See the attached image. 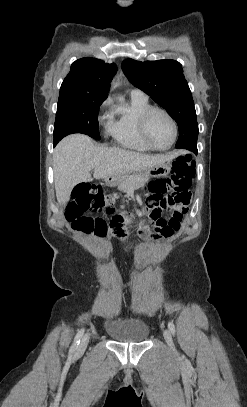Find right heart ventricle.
I'll return each mask as SVG.
<instances>
[{
  "mask_svg": "<svg viewBox=\"0 0 247 407\" xmlns=\"http://www.w3.org/2000/svg\"><path fill=\"white\" fill-rule=\"evenodd\" d=\"M150 107L147 98L131 97L128 104L111 110L107 133L118 146L136 152L151 150L141 139L138 130L141 114Z\"/></svg>",
  "mask_w": 247,
  "mask_h": 407,
  "instance_id": "obj_1",
  "label": "right heart ventricle"
}]
</instances>
